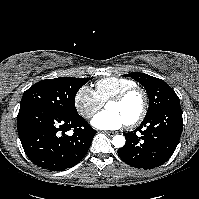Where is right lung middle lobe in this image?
<instances>
[{
    "label": "right lung middle lobe",
    "instance_id": "obj_1",
    "mask_svg": "<svg viewBox=\"0 0 199 199\" xmlns=\"http://www.w3.org/2000/svg\"><path fill=\"white\" fill-rule=\"evenodd\" d=\"M91 78L60 77L32 85L22 96L20 109L43 108L63 116L77 115L75 96Z\"/></svg>",
    "mask_w": 199,
    "mask_h": 199
}]
</instances>
